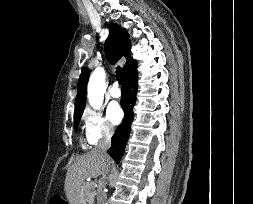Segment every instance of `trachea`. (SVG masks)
Here are the masks:
<instances>
[{"instance_id":"trachea-1","label":"trachea","mask_w":253,"mask_h":204,"mask_svg":"<svg viewBox=\"0 0 253 204\" xmlns=\"http://www.w3.org/2000/svg\"><path fill=\"white\" fill-rule=\"evenodd\" d=\"M116 77H117L118 83L120 85H123L124 84V76H123V70H122V68L118 67L116 69Z\"/></svg>"}]
</instances>
